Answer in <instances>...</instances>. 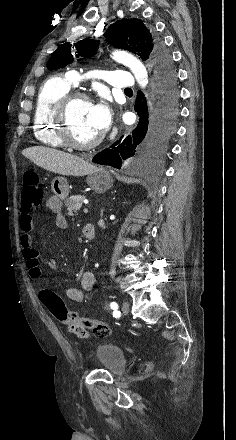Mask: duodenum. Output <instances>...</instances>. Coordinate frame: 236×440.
I'll return each mask as SVG.
<instances>
[{
  "mask_svg": "<svg viewBox=\"0 0 236 440\" xmlns=\"http://www.w3.org/2000/svg\"><path fill=\"white\" fill-rule=\"evenodd\" d=\"M83 233L86 238L93 239L95 237V228L92 224H87L83 228Z\"/></svg>",
  "mask_w": 236,
  "mask_h": 440,
  "instance_id": "1",
  "label": "duodenum"
}]
</instances>
